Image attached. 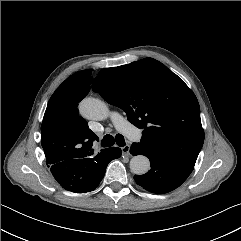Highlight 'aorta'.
Segmentation results:
<instances>
[{"label": "aorta", "mask_w": 241, "mask_h": 241, "mask_svg": "<svg viewBox=\"0 0 241 241\" xmlns=\"http://www.w3.org/2000/svg\"><path fill=\"white\" fill-rule=\"evenodd\" d=\"M81 114L91 120H104L109 116L110 110L103 101L87 97L79 104ZM130 169L136 175H144L150 169V161L144 155L134 156L130 160Z\"/></svg>", "instance_id": "obj_1"}]
</instances>
